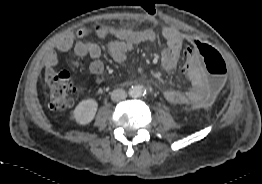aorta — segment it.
I'll list each match as a JSON object with an SVG mask.
<instances>
[{
    "instance_id": "obj_1",
    "label": "aorta",
    "mask_w": 262,
    "mask_h": 184,
    "mask_svg": "<svg viewBox=\"0 0 262 184\" xmlns=\"http://www.w3.org/2000/svg\"><path fill=\"white\" fill-rule=\"evenodd\" d=\"M143 93H144V88H143V86H141V85L133 86V87L129 90V95H130L132 98L140 97V96L143 95Z\"/></svg>"
}]
</instances>
